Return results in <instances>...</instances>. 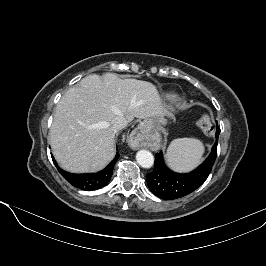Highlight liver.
<instances>
[{
    "instance_id": "obj_1",
    "label": "liver",
    "mask_w": 266,
    "mask_h": 266,
    "mask_svg": "<svg viewBox=\"0 0 266 266\" xmlns=\"http://www.w3.org/2000/svg\"><path fill=\"white\" fill-rule=\"evenodd\" d=\"M156 87L147 81L121 79L114 73L91 74L69 88L56 106L50 144L59 165L72 173L95 172L115 155L112 120L164 118Z\"/></svg>"
}]
</instances>
